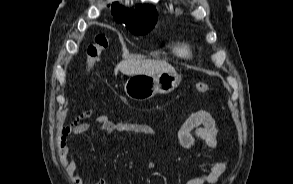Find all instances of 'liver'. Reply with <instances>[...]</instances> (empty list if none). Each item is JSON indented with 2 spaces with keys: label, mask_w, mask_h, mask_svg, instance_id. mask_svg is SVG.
Segmentation results:
<instances>
[{
  "label": "liver",
  "mask_w": 293,
  "mask_h": 184,
  "mask_svg": "<svg viewBox=\"0 0 293 184\" xmlns=\"http://www.w3.org/2000/svg\"><path fill=\"white\" fill-rule=\"evenodd\" d=\"M125 75H135V74H157L162 72H175L173 66H171L166 61L160 60H150V59H140L131 58L121 61L115 68V73L117 71Z\"/></svg>",
  "instance_id": "1"
}]
</instances>
